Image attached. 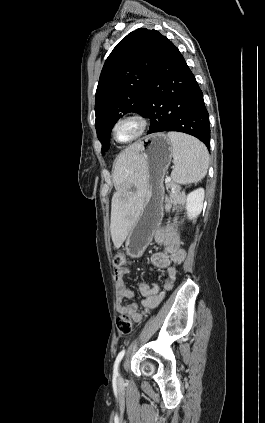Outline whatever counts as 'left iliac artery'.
<instances>
[{
    "label": "left iliac artery",
    "mask_w": 265,
    "mask_h": 423,
    "mask_svg": "<svg viewBox=\"0 0 265 423\" xmlns=\"http://www.w3.org/2000/svg\"><path fill=\"white\" fill-rule=\"evenodd\" d=\"M124 354H125V350L123 349L122 351L119 352V354L116 357V360H115V363H114V371H113L114 376L118 375V366H119V363L121 362Z\"/></svg>",
    "instance_id": "obj_1"
}]
</instances>
